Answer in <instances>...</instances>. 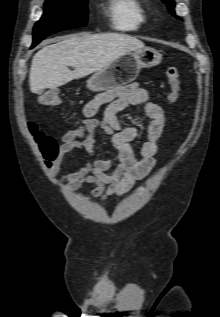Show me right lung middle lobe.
I'll list each match as a JSON object with an SVG mask.
<instances>
[{
  "instance_id": "1",
  "label": "right lung middle lobe",
  "mask_w": 220,
  "mask_h": 317,
  "mask_svg": "<svg viewBox=\"0 0 220 317\" xmlns=\"http://www.w3.org/2000/svg\"><path fill=\"white\" fill-rule=\"evenodd\" d=\"M88 0H46L41 19L33 29V45L59 31L83 27L87 24Z\"/></svg>"
}]
</instances>
